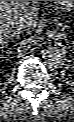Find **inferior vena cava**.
Listing matches in <instances>:
<instances>
[{"instance_id": "1", "label": "inferior vena cava", "mask_w": 74, "mask_h": 122, "mask_svg": "<svg viewBox=\"0 0 74 122\" xmlns=\"http://www.w3.org/2000/svg\"><path fill=\"white\" fill-rule=\"evenodd\" d=\"M10 25L15 30L21 32V31H23L24 29H26L28 27V22L23 17H14L11 20Z\"/></svg>"}]
</instances>
